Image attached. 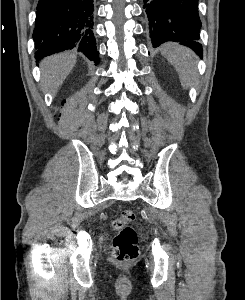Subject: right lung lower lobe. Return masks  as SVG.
Returning <instances> with one entry per match:
<instances>
[{
	"label": "right lung lower lobe",
	"mask_w": 245,
	"mask_h": 300,
	"mask_svg": "<svg viewBox=\"0 0 245 300\" xmlns=\"http://www.w3.org/2000/svg\"><path fill=\"white\" fill-rule=\"evenodd\" d=\"M93 0H39L33 39L36 57L77 49L96 64Z\"/></svg>",
	"instance_id": "obj_1"
}]
</instances>
